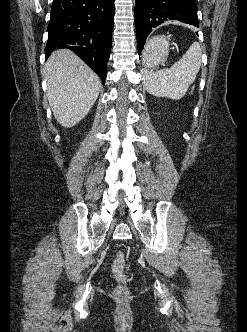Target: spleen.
<instances>
[{
	"instance_id": "1",
	"label": "spleen",
	"mask_w": 247,
	"mask_h": 332,
	"mask_svg": "<svg viewBox=\"0 0 247 332\" xmlns=\"http://www.w3.org/2000/svg\"><path fill=\"white\" fill-rule=\"evenodd\" d=\"M201 67V48L194 42L188 51L170 68L144 71L145 89L156 97L179 100L185 96L189 86L195 81Z\"/></svg>"
}]
</instances>
